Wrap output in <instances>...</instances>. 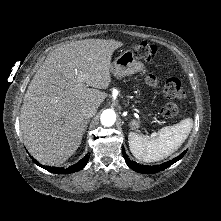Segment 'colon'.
I'll return each instance as SVG.
<instances>
[{
	"mask_svg": "<svg viewBox=\"0 0 221 221\" xmlns=\"http://www.w3.org/2000/svg\"><path fill=\"white\" fill-rule=\"evenodd\" d=\"M133 49L137 57L145 61H150L156 53V47L147 42L139 43ZM164 94L169 101L163 106L161 112L165 118H172L178 112L176 102L186 97L181 81L176 77L168 78L164 84Z\"/></svg>",
	"mask_w": 221,
	"mask_h": 221,
	"instance_id": "colon-1",
	"label": "colon"
}]
</instances>
